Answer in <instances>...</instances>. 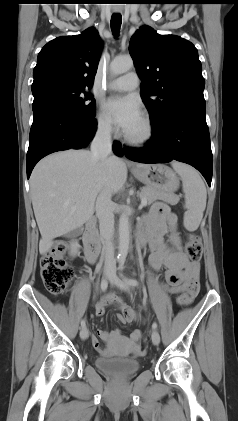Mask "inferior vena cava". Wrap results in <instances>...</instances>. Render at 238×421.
Returning <instances> with one entry per match:
<instances>
[{"label": "inferior vena cava", "mask_w": 238, "mask_h": 421, "mask_svg": "<svg viewBox=\"0 0 238 421\" xmlns=\"http://www.w3.org/2000/svg\"><path fill=\"white\" fill-rule=\"evenodd\" d=\"M112 152L111 127L102 125L98 128L96 136L91 144L92 159L105 162ZM96 215L99 219L100 235L104 239L105 264L113 265L114 260V214L109 190H102L96 200Z\"/></svg>", "instance_id": "obj_1"}]
</instances>
